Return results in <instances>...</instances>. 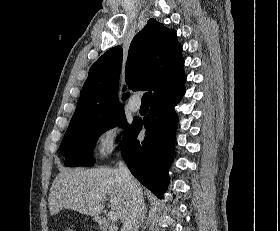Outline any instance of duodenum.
Listing matches in <instances>:
<instances>
[{"label": "duodenum", "instance_id": "1", "mask_svg": "<svg viewBox=\"0 0 280 231\" xmlns=\"http://www.w3.org/2000/svg\"><path fill=\"white\" fill-rule=\"evenodd\" d=\"M98 223L103 231H118V229L111 224L109 219L104 216L98 218Z\"/></svg>", "mask_w": 280, "mask_h": 231}]
</instances>
